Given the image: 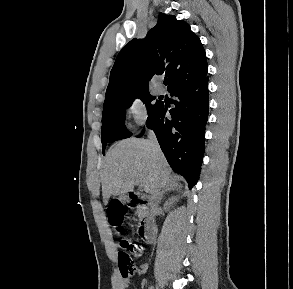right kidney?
I'll return each instance as SVG.
<instances>
[{
  "label": "right kidney",
  "mask_w": 293,
  "mask_h": 289,
  "mask_svg": "<svg viewBox=\"0 0 293 289\" xmlns=\"http://www.w3.org/2000/svg\"><path fill=\"white\" fill-rule=\"evenodd\" d=\"M176 200H177L176 197L169 199L164 205L165 209H169Z\"/></svg>",
  "instance_id": "ca27d5eb"
}]
</instances>
